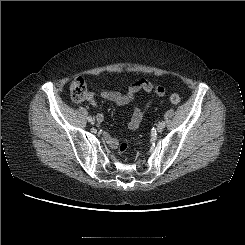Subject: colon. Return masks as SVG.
I'll return each instance as SVG.
<instances>
[{
    "label": "colon",
    "instance_id": "colon-1",
    "mask_svg": "<svg viewBox=\"0 0 245 245\" xmlns=\"http://www.w3.org/2000/svg\"><path fill=\"white\" fill-rule=\"evenodd\" d=\"M70 95L74 101H84L88 97V89L86 81L82 77L75 78L70 84ZM181 98L177 94L170 96V101L173 104H178ZM129 148L128 143L122 142L117 147L118 154L122 155L127 152Z\"/></svg>",
    "mask_w": 245,
    "mask_h": 245
}]
</instances>
